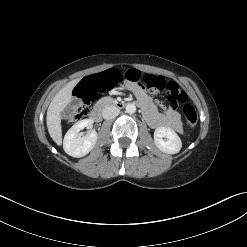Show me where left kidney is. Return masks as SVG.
<instances>
[{
    "label": "left kidney",
    "instance_id": "obj_1",
    "mask_svg": "<svg viewBox=\"0 0 247 247\" xmlns=\"http://www.w3.org/2000/svg\"><path fill=\"white\" fill-rule=\"evenodd\" d=\"M154 142L160 151L167 154H176L182 148L180 137L169 127H158L154 131Z\"/></svg>",
    "mask_w": 247,
    "mask_h": 247
}]
</instances>
